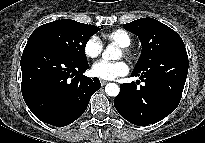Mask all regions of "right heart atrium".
<instances>
[{"label": "right heart atrium", "instance_id": "d8ad5b80", "mask_svg": "<svg viewBox=\"0 0 205 143\" xmlns=\"http://www.w3.org/2000/svg\"><path fill=\"white\" fill-rule=\"evenodd\" d=\"M103 51V43L96 35L90 36L84 43L83 52L89 59H96Z\"/></svg>", "mask_w": 205, "mask_h": 143}]
</instances>
